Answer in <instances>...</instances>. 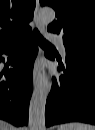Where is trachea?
I'll return each instance as SVG.
<instances>
[{"instance_id": "obj_1", "label": "trachea", "mask_w": 95, "mask_h": 130, "mask_svg": "<svg viewBox=\"0 0 95 130\" xmlns=\"http://www.w3.org/2000/svg\"><path fill=\"white\" fill-rule=\"evenodd\" d=\"M34 36L37 41V43L42 47H50L54 48V46L49 43L44 37L40 34V32L37 29H34Z\"/></svg>"}]
</instances>
